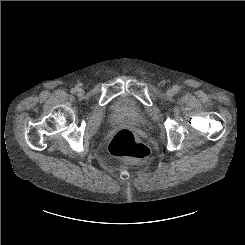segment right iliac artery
I'll list each match as a JSON object with an SVG mask.
<instances>
[{"label": "right iliac artery", "instance_id": "1", "mask_svg": "<svg viewBox=\"0 0 245 245\" xmlns=\"http://www.w3.org/2000/svg\"><path fill=\"white\" fill-rule=\"evenodd\" d=\"M77 90H78L77 87H76V88H73V89L71 90V93H75Z\"/></svg>", "mask_w": 245, "mask_h": 245}]
</instances>
